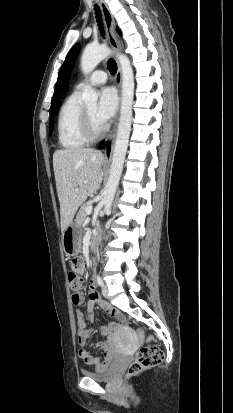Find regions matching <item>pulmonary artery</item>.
Masks as SVG:
<instances>
[{
	"label": "pulmonary artery",
	"instance_id": "obj_1",
	"mask_svg": "<svg viewBox=\"0 0 233 413\" xmlns=\"http://www.w3.org/2000/svg\"><path fill=\"white\" fill-rule=\"evenodd\" d=\"M107 81V74L103 70H96L94 71L87 79L81 80L76 88L80 89L82 88L85 83H90L92 85H100L104 84Z\"/></svg>",
	"mask_w": 233,
	"mask_h": 413
}]
</instances>
